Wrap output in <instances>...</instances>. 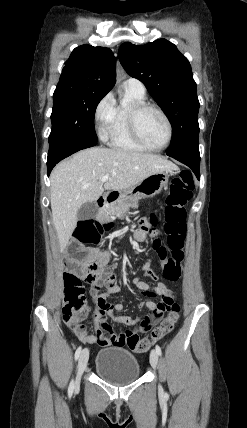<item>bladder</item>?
<instances>
[{"label": "bladder", "mask_w": 247, "mask_h": 428, "mask_svg": "<svg viewBox=\"0 0 247 428\" xmlns=\"http://www.w3.org/2000/svg\"><path fill=\"white\" fill-rule=\"evenodd\" d=\"M95 372L103 380L114 385L136 381L141 374L137 357L123 347L102 349L95 359Z\"/></svg>", "instance_id": "1"}]
</instances>
